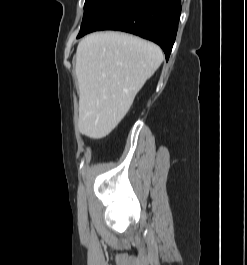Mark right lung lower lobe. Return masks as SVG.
<instances>
[{"instance_id":"obj_1","label":"right lung lower lobe","mask_w":247,"mask_h":265,"mask_svg":"<svg viewBox=\"0 0 247 265\" xmlns=\"http://www.w3.org/2000/svg\"><path fill=\"white\" fill-rule=\"evenodd\" d=\"M180 13V0H100L83 19L77 38L97 30L125 31L157 43L168 60Z\"/></svg>"}]
</instances>
